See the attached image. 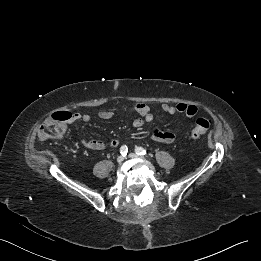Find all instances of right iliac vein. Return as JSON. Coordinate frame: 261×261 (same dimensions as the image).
Returning a JSON list of instances; mask_svg holds the SVG:
<instances>
[{
    "mask_svg": "<svg viewBox=\"0 0 261 261\" xmlns=\"http://www.w3.org/2000/svg\"><path fill=\"white\" fill-rule=\"evenodd\" d=\"M123 161H124V157L123 156H118V158H117V162L119 163V164H122L123 163Z\"/></svg>",
    "mask_w": 261,
    "mask_h": 261,
    "instance_id": "right-iliac-vein-1",
    "label": "right iliac vein"
}]
</instances>
